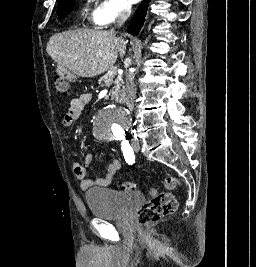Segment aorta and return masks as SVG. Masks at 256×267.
Here are the masks:
<instances>
[{
    "mask_svg": "<svg viewBox=\"0 0 256 267\" xmlns=\"http://www.w3.org/2000/svg\"><path fill=\"white\" fill-rule=\"evenodd\" d=\"M96 127H129L123 108H104L102 117H94ZM114 133H123V128H94L93 138H102V143H107V138H114Z\"/></svg>",
    "mask_w": 256,
    "mask_h": 267,
    "instance_id": "aorta-1",
    "label": "aorta"
}]
</instances>
